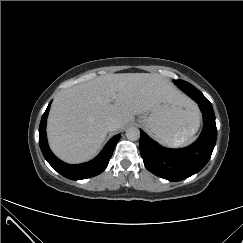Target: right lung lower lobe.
<instances>
[{"label": "right lung lower lobe", "instance_id": "98d812e1", "mask_svg": "<svg viewBox=\"0 0 243 243\" xmlns=\"http://www.w3.org/2000/svg\"><path fill=\"white\" fill-rule=\"evenodd\" d=\"M50 109V104L48 105L46 111L44 112L40 127H39V144L41 151L45 157V159L48 161V163L61 175H63L66 178L72 179V180H80V179H86L89 177L96 176L103 172L112 156L113 150L115 148V145L120 139V135H116L112 137L108 143L105 145L104 149L101 151V153L94 158L93 160L78 164V165H69L61 160H59L50 150L47 142L46 137V121L48 112Z\"/></svg>", "mask_w": 243, "mask_h": 243}]
</instances>
